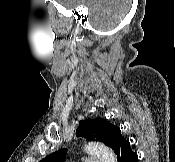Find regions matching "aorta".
Wrapping results in <instances>:
<instances>
[{"instance_id": "1", "label": "aorta", "mask_w": 175, "mask_h": 162, "mask_svg": "<svg viewBox=\"0 0 175 162\" xmlns=\"http://www.w3.org/2000/svg\"><path fill=\"white\" fill-rule=\"evenodd\" d=\"M85 151L97 157L100 162H117L114 152L99 142H90L85 146Z\"/></svg>"}]
</instances>
